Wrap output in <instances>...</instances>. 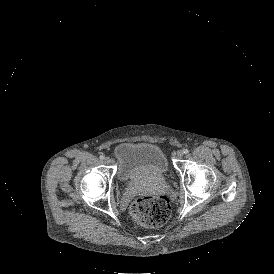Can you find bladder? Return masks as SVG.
<instances>
[{
	"mask_svg": "<svg viewBox=\"0 0 274 274\" xmlns=\"http://www.w3.org/2000/svg\"><path fill=\"white\" fill-rule=\"evenodd\" d=\"M117 176L128 181L135 176L160 178L169 171L164 150L151 143L122 142L114 149Z\"/></svg>",
	"mask_w": 274,
	"mask_h": 274,
	"instance_id": "31cf9c89",
	"label": "bladder"
}]
</instances>
